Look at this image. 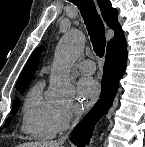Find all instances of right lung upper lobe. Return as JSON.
I'll use <instances>...</instances> for the list:
<instances>
[{"label":"right lung upper lobe","instance_id":"cb5924a9","mask_svg":"<svg viewBox=\"0 0 145 147\" xmlns=\"http://www.w3.org/2000/svg\"><path fill=\"white\" fill-rule=\"evenodd\" d=\"M97 2L101 10L102 17L104 18L107 25L110 28L114 29L115 32L114 38L111 39L108 43L110 44L112 41H114L116 38L123 34V31L117 20L118 13L117 10L112 7L109 0H97ZM40 51L41 47L37 48L30 56L16 83L17 89L26 87L27 84L31 81L32 75L35 73L36 67L38 65V57Z\"/></svg>","mask_w":145,"mask_h":147}]
</instances>
